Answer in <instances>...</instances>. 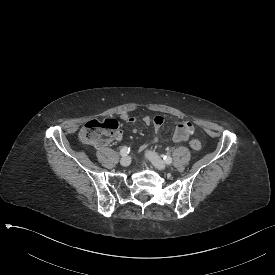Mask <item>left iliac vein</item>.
Listing matches in <instances>:
<instances>
[{
  "label": "left iliac vein",
  "instance_id": "left-iliac-vein-1",
  "mask_svg": "<svg viewBox=\"0 0 275 275\" xmlns=\"http://www.w3.org/2000/svg\"><path fill=\"white\" fill-rule=\"evenodd\" d=\"M145 155L149 159V161L159 170H164L166 168L165 162L154 151L147 150Z\"/></svg>",
  "mask_w": 275,
  "mask_h": 275
}]
</instances>
